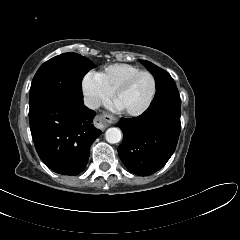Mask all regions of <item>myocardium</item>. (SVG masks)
<instances>
[{
	"label": "myocardium",
	"instance_id": "myocardium-1",
	"mask_svg": "<svg viewBox=\"0 0 240 240\" xmlns=\"http://www.w3.org/2000/svg\"><path fill=\"white\" fill-rule=\"evenodd\" d=\"M141 75H149L153 81V89H152V94L150 96V99L148 100V102L140 109L137 110H126V112L131 115V116H141L143 114H145L152 106L156 94H157V78L156 76L148 71V70H141L139 72H137L136 74L132 75L131 77H129L126 81H124L119 87L118 89L115 91V98L118 100V98L120 97V95L125 92L127 89H129L131 87V85L134 83V81L140 77Z\"/></svg>",
	"mask_w": 240,
	"mask_h": 240
}]
</instances>
